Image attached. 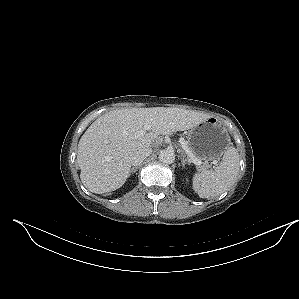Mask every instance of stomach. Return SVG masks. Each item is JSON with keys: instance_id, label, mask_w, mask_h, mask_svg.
Returning a JSON list of instances; mask_svg holds the SVG:
<instances>
[{"instance_id": "1", "label": "stomach", "mask_w": 299, "mask_h": 299, "mask_svg": "<svg viewBox=\"0 0 299 299\" xmlns=\"http://www.w3.org/2000/svg\"><path fill=\"white\" fill-rule=\"evenodd\" d=\"M188 144L202 160L220 158L230 147L231 139L227 129L215 117H210L188 132Z\"/></svg>"}]
</instances>
